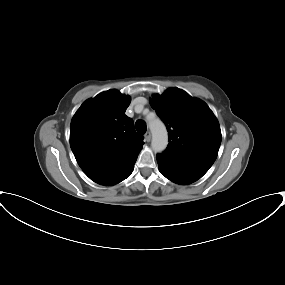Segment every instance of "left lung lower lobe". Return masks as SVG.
<instances>
[{
    "mask_svg": "<svg viewBox=\"0 0 285 285\" xmlns=\"http://www.w3.org/2000/svg\"><path fill=\"white\" fill-rule=\"evenodd\" d=\"M160 172L177 184H190L201 178L208 169L173 159L165 154L157 155Z\"/></svg>",
    "mask_w": 285,
    "mask_h": 285,
    "instance_id": "0a47b994",
    "label": "left lung lower lobe"
}]
</instances>
